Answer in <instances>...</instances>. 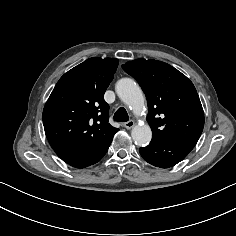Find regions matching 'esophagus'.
Returning <instances> with one entry per match:
<instances>
[{
    "label": "esophagus",
    "mask_w": 236,
    "mask_h": 236,
    "mask_svg": "<svg viewBox=\"0 0 236 236\" xmlns=\"http://www.w3.org/2000/svg\"><path fill=\"white\" fill-rule=\"evenodd\" d=\"M134 125H135V122H134L133 120H129V121H127V122L124 123V127H125L126 129H131V128L134 127Z\"/></svg>",
    "instance_id": "esophagus-1"
}]
</instances>
